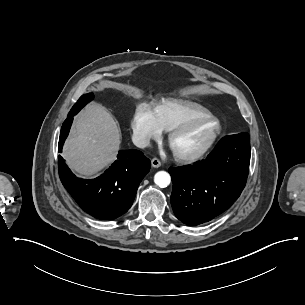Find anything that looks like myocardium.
<instances>
[{
    "label": "myocardium",
    "mask_w": 305,
    "mask_h": 305,
    "mask_svg": "<svg viewBox=\"0 0 305 305\" xmlns=\"http://www.w3.org/2000/svg\"><path fill=\"white\" fill-rule=\"evenodd\" d=\"M207 120H213L217 123V129L212 135L210 141L203 147L191 150H182L177 148V143L184 135V133L193 125L202 123ZM224 133V125L221 119L214 113H209L203 116H199L190 120H187L176 127L169 136V146L172 150L174 158L182 163L194 162L203 156L207 155L218 144Z\"/></svg>",
    "instance_id": "1"
}]
</instances>
